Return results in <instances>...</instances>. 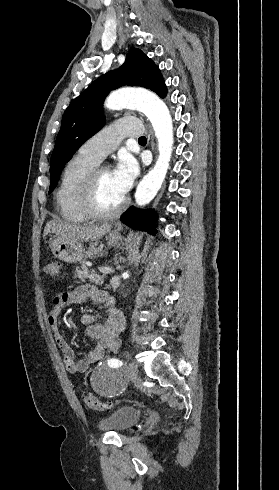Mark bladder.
Wrapping results in <instances>:
<instances>
[{"instance_id":"31cf9c89","label":"bladder","mask_w":279,"mask_h":490,"mask_svg":"<svg viewBox=\"0 0 279 490\" xmlns=\"http://www.w3.org/2000/svg\"><path fill=\"white\" fill-rule=\"evenodd\" d=\"M141 417V410L132 406H121L99 421L101 430L113 432H124L135 426Z\"/></svg>"}]
</instances>
